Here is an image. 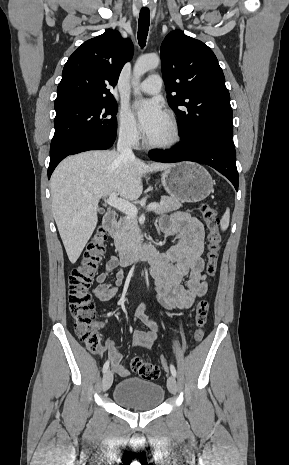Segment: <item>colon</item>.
<instances>
[{
  "label": "colon",
  "instance_id": "1",
  "mask_svg": "<svg viewBox=\"0 0 289 465\" xmlns=\"http://www.w3.org/2000/svg\"><path fill=\"white\" fill-rule=\"evenodd\" d=\"M202 219L207 228L206 274L211 279L217 270L222 236L219 230L220 220L216 209L210 204L201 206ZM107 244L104 228L99 227L88 243L81 264L73 269L68 277L69 311L74 319L75 333L86 348L97 353L101 350V340L94 327L95 306L89 293L93 277L102 262ZM209 302L201 299L195 309L194 338L201 341L205 336L204 326L207 322ZM161 366L166 368V360L161 357ZM132 368L140 377L155 380L160 375V366L144 361L140 357L132 360Z\"/></svg>",
  "mask_w": 289,
  "mask_h": 465
}]
</instances>
